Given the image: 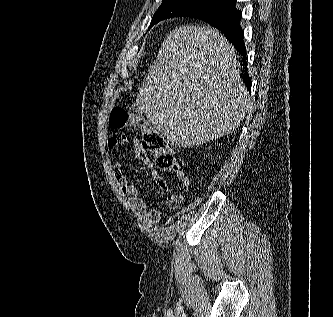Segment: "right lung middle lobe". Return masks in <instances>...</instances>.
<instances>
[{"mask_svg":"<svg viewBox=\"0 0 333 317\" xmlns=\"http://www.w3.org/2000/svg\"><path fill=\"white\" fill-rule=\"evenodd\" d=\"M228 4H230L228 0H163L153 15L150 27L167 18L193 17L217 10Z\"/></svg>","mask_w":333,"mask_h":317,"instance_id":"obj_1","label":"right lung middle lobe"}]
</instances>
